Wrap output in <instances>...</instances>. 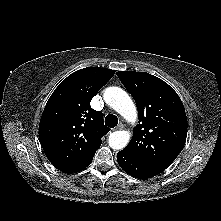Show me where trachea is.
<instances>
[{"instance_id": "3493384b", "label": "trachea", "mask_w": 221, "mask_h": 221, "mask_svg": "<svg viewBox=\"0 0 221 221\" xmlns=\"http://www.w3.org/2000/svg\"><path fill=\"white\" fill-rule=\"evenodd\" d=\"M105 124L110 128H114L118 124V118L113 114H109L105 118Z\"/></svg>"}]
</instances>
